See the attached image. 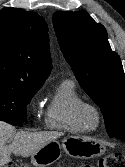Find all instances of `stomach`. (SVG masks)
Segmentation results:
<instances>
[{
	"instance_id": "stomach-1",
	"label": "stomach",
	"mask_w": 125,
	"mask_h": 167,
	"mask_svg": "<svg viewBox=\"0 0 125 167\" xmlns=\"http://www.w3.org/2000/svg\"><path fill=\"white\" fill-rule=\"evenodd\" d=\"M74 158L88 159L104 154L105 147L99 141L85 136H67L61 141H51L31 155L35 167H46L57 161L62 153Z\"/></svg>"
}]
</instances>
